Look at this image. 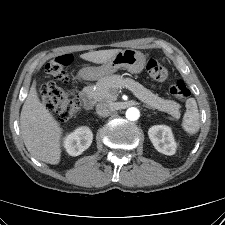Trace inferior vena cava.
Here are the masks:
<instances>
[{
	"instance_id": "obj_1",
	"label": "inferior vena cava",
	"mask_w": 225,
	"mask_h": 225,
	"mask_svg": "<svg viewBox=\"0 0 225 225\" xmlns=\"http://www.w3.org/2000/svg\"><path fill=\"white\" fill-rule=\"evenodd\" d=\"M113 111V104L109 101H101L96 105V112L100 116H109V114Z\"/></svg>"
}]
</instances>
